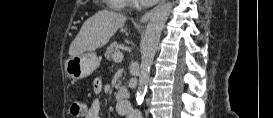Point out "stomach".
Returning <instances> with one entry per match:
<instances>
[{"label":"stomach","mask_w":273,"mask_h":118,"mask_svg":"<svg viewBox=\"0 0 273 118\" xmlns=\"http://www.w3.org/2000/svg\"><path fill=\"white\" fill-rule=\"evenodd\" d=\"M98 66L97 55L92 52H84L77 56H70L66 61L65 71L69 78L80 80L90 76Z\"/></svg>","instance_id":"obj_1"}]
</instances>
